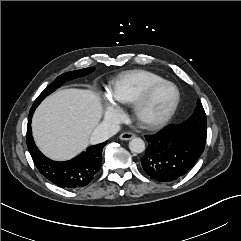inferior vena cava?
<instances>
[{
    "instance_id": "1",
    "label": "inferior vena cava",
    "mask_w": 241,
    "mask_h": 241,
    "mask_svg": "<svg viewBox=\"0 0 241 241\" xmlns=\"http://www.w3.org/2000/svg\"><path fill=\"white\" fill-rule=\"evenodd\" d=\"M120 130V126L110 122H101L96 126L90 136L91 144H98L108 140Z\"/></svg>"
}]
</instances>
